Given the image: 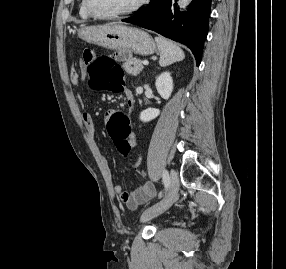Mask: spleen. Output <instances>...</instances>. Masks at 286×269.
Wrapping results in <instances>:
<instances>
[{
    "label": "spleen",
    "instance_id": "1",
    "mask_svg": "<svg viewBox=\"0 0 286 269\" xmlns=\"http://www.w3.org/2000/svg\"><path fill=\"white\" fill-rule=\"evenodd\" d=\"M155 41L160 52L159 65L161 67H166L184 59L183 50L174 42L161 36L156 37Z\"/></svg>",
    "mask_w": 286,
    "mask_h": 269
}]
</instances>
